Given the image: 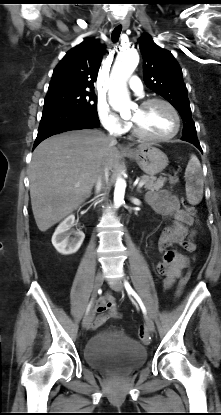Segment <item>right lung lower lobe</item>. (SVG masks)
<instances>
[{"instance_id":"1","label":"right lung lower lobe","mask_w":221,"mask_h":415,"mask_svg":"<svg viewBox=\"0 0 221 415\" xmlns=\"http://www.w3.org/2000/svg\"><path fill=\"white\" fill-rule=\"evenodd\" d=\"M98 116L67 107H44L33 149L46 138L65 131L96 128Z\"/></svg>"}]
</instances>
